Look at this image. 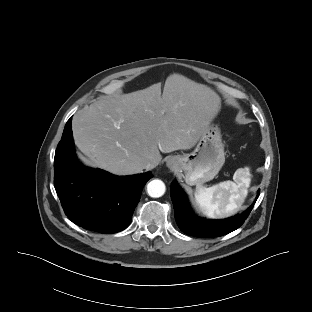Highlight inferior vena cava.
Wrapping results in <instances>:
<instances>
[{
	"label": "inferior vena cava",
	"mask_w": 312,
	"mask_h": 312,
	"mask_svg": "<svg viewBox=\"0 0 312 312\" xmlns=\"http://www.w3.org/2000/svg\"><path fill=\"white\" fill-rule=\"evenodd\" d=\"M157 162L153 160H148L144 163V169L151 170L157 166Z\"/></svg>",
	"instance_id": "obj_1"
}]
</instances>
